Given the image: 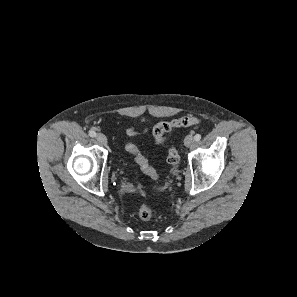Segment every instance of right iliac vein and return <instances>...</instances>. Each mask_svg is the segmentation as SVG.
<instances>
[{
  "label": "right iliac vein",
  "instance_id": "1",
  "mask_svg": "<svg viewBox=\"0 0 297 297\" xmlns=\"http://www.w3.org/2000/svg\"><path fill=\"white\" fill-rule=\"evenodd\" d=\"M96 139H97L98 143L101 144V145H106L107 144V138L102 133L97 134Z\"/></svg>",
  "mask_w": 297,
  "mask_h": 297
}]
</instances>
